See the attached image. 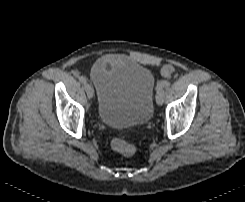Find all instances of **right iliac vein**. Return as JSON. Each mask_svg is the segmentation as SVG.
I'll return each mask as SVG.
<instances>
[{"label": "right iliac vein", "instance_id": "63e3f726", "mask_svg": "<svg viewBox=\"0 0 245 202\" xmlns=\"http://www.w3.org/2000/svg\"><path fill=\"white\" fill-rule=\"evenodd\" d=\"M84 87H85L86 94H87L88 98L92 99L93 98V94H94L92 86L90 84L86 83L84 85Z\"/></svg>", "mask_w": 245, "mask_h": 202}]
</instances>
